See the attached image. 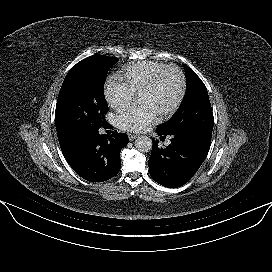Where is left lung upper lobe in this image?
Segmentation results:
<instances>
[{"mask_svg": "<svg viewBox=\"0 0 272 272\" xmlns=\"http://www.w3.org/2000/svg\"><path fill=\"white\" fill-rule=\"evenodd\" d=\"M186 70L187 91L182 105L166 123L158 126L164 134L191 133L212 135L213 113L207 89L197 74L184 65Z\"/></svg>", "mask_w": 272, "mask_h": 272, "instance_id": "obj_1", "label": "left lung upper lobe"}]
</instances>
